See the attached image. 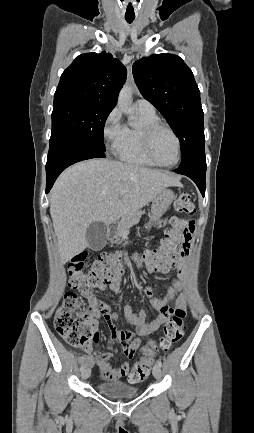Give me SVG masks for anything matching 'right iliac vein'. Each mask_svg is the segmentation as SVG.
Here are the masks:
<instances>
[{
    "mask_svg": "<svg viewBox=\"0 0 254 433\" xmlns=\"http://www.w3.org/2000/svg\"><path fill=\"white\" fill-rule=\"evenodd\" d=\"M90 374H91V370H90V368H84V369L81 371L82 379H87V378H89Z\"/></svg>",
    "mask_w": 254,
    "mask_h": 433,
    "instance_id": "63e3f726",
    "label": "right iliac vein"
}]
</instances>
